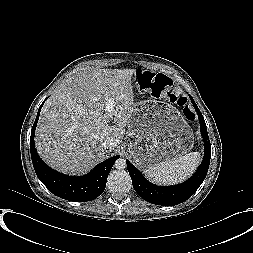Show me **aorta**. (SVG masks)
<instances>
[{"label": "aorta", "instance_id": "obj_1", "mask_svg": "<svg viewBox=\"0 0 253 253\" xmlns=\"http://www.w3.org/2000/svg\"><path fill=\"white\" fill-rule=\"evenodd\" d=\"M127 166L126 160L124 158H119L115 161L114 167L118 170L125 169Z\"/></svg>", "mask_w": 253, "mask_h": 253}]
</instances>
